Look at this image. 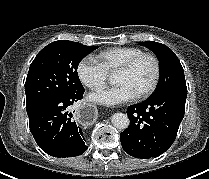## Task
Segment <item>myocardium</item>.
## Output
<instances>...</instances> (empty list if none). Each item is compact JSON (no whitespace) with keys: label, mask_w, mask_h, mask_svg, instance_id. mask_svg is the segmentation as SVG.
<instances>
[{"label":"myocardium","mask_w":209,"mask_h":179,"mask_svg":"<svg viewBox=\"0 0 209 179\" xmlns=\"http://www.w3.org/2000/svg\"><path fill=\"white\" fill-rule=\"evenodd\" d=\"M144 58H149L152 60V62L154 64V68H155V73H154V78H153L150 86L147 89H145L144 91H142L141 93L135 95L136 99H144V98L150 96L156 90L159 80H160V76H161V65H160V61H159L158 57L153 53L142 52V53L134 56L130 60H128L119 69H117V71L114 73L115 75L127 73V72L131 71L135 67V65L140 60H142Z\"/></svg>","instance_id":"1"}]
</instances>
